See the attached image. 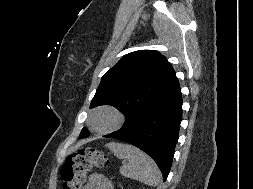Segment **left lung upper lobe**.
I'll list each match as a JSON object with an SVG mask.
<instances>
[{"mask_svg":"<svg viewBox=\"0 0 253 189\" xmlns=\"http://www.w3.org/2000/svg\"><path fill=\"white\" fill-rule=\"evenodd\" d=\"M178 79L166 57L157 51L131 52L102 77L90 107L112 105L128 121L170 88ZM89 133L82 129L80 135Z\"/></svg>","mask_w":253,"mask_h":189,"instance_id":"left-lung-upper-lobe-1","label":"left lung upper lobe"}]
</instances>
